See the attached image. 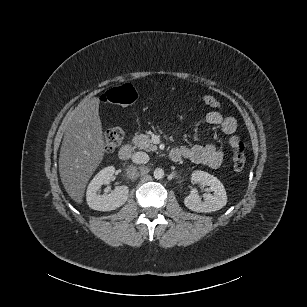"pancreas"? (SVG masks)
<instances>
[{"label": "pancreas", "instance_id": "obj_1", "mask_svg": "<svg viewBox=\"0 0 307 307\" xmlns=\"http://www.w3.org/2000/svg\"><path fill=\"white\" fill-rule=\"evenodd\" d=\"M133 144L137 146L138 148L151 152V151H156L157 146L154 145L147 134H139L134 139L132 140Z\"/></svg>", "mask_w": 307, "mask_h": 307}]
</instances>
